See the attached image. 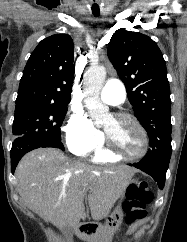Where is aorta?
<instances>
[{"label":"aorta","mask_w":187,"mask_h":242,"mask_svg":"<svg viewBox=\"0 0 187 242\" xmlns=\"http://www.w3.org/2000/svg\"><path fill=\"white\" fill-rule=\"evenodd\" d=\"M106 78L104 66H91L84 75V102L89 110L90 117L100 122L108 117L109 108L102 104L100 91Z\"/></svg>","instance_id":"obj_1"}]
</instances>
